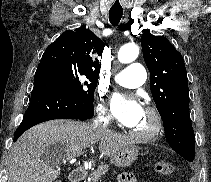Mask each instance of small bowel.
<instances>
[{"mask_svg": "<svg viewBox=\"0 0 211 182\" xmlns=\"http://www.w3.org/2000/svg\"><path fill=\"white\" fill-rule=\"evenodd\" d=\"M118 182H137V180L132 174L125 172L119 175Z\"/></svg>", "mask_w": 211, "mask_h": 182, "instance_id": "1", "label": "small bowel"}]
</instances>
